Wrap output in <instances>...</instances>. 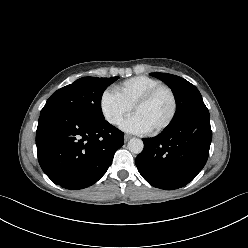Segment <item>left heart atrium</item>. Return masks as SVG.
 I'll return each mask as SVG.
<instances>
[{
	"label": "left heart atrium",
	"mask_w": 248,
	"mask_h": 248,
	"mask_svg": "<svg viewBox=\"0 0 248 248\" xmlns=\"http://www.w3.org/2000/svg\"><path fill=\"white\" fill-rule=\"evenodd\" d=\"M121 128L131 133H148L150 131L144 121L136 114L123 121Z\"/></svg>",
	"instance_id": "obj_1"
}]
</instances>
